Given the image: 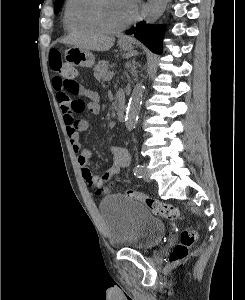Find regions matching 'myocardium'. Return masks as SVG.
Returning <instances> with one entry per match:
<instances>
[{
  "instance_id": "myocardium-1",
  "label": "myocardium",
  "mask_w": 245,
  "mask_h": 300,
  "mask_svg": "<svg viewBox=\"0 0 245 300\" xmlns=\"http://www.w3.org/2000/svg\"><path fill=\"white\" fill-rule=\"evenodd\" d=\"M88 7V19L93 27H95L99 32L106 34H114L123 31L129 25L133 23L136 19V14H134L128 21L118 27H108L100 19L99 8L102 0H90Z\"/></svg>"
}]
</instances>
